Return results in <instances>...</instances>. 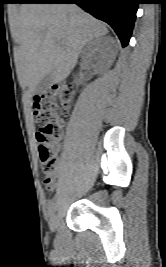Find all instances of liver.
I'll return each instance as SVG.
<instances>
[{
    "label": "liver",
    "mask_w": 166,
    "mask_h": 267,
    "mask_svg": "<svg viewBox=\"0 0 166 267\" xmlns=\"http://www.w3.org/2000/svg\"><path fill=\"white\" fill-rule=\"evenodd\" d=\"M99 20L75 4H23L12 34L20 47L16 54L19 81L34 94L44 75L53 83L66 79L77 63L84 45L106 35Z\"/></svg>",
    "instance_id": "liver-1"
}]
</instances>
